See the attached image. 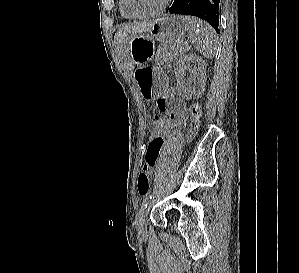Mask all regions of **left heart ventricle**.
Wrapping results in <instances>:
<instances>
[{"label": "left heart ventricle", "mask_w": 299, "mask_h": 273, "mask_svg": "<svg viewBox=\"0 0 299 273\" xmlns=\"http://www.w3.org/2000/svg\"><path fill=\"white\" fill-rule=\"evenodd\" d=\"M163 0H127L128 7L138 13L148 12L157 8Z\"/></svg>", "instance_id": "b2bd125f"}]
</instances>
